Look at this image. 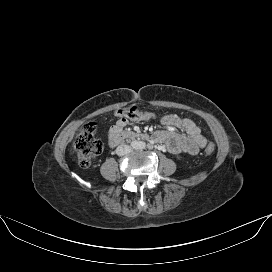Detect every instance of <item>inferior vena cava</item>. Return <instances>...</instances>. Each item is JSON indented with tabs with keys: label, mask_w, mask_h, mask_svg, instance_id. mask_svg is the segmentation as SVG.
Masks as SVG:
<instances>
[{
	"label": "inferior vena cava",
	"mask_w": 272,
	"mask_h": 272,
	"mask_svg": "<svg viewBox=\"0 0 272 272\" xmlns=\"http://www.w3.org/2000/svg\"><path fill=\"white\" fill-rule=\"evenodd\" d=\"M132 152V148L129 145L121 144L116 148V154L118 156H124Z\"/></svg>",
	"instance_id": "inferior-vena-cava-1"
}]
</instances>
